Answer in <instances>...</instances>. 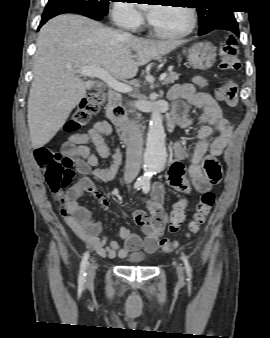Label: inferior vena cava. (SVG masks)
I'll return each mask as SVG.
<instances>
[{
	"label": "inferior vena cava",
	"mask_w": 270,
	"mask_h": 338,
	"mask_svg": "<svg viewBox=\"0 0 270 338\" xmlns=\"http://www.w3.org/2000/svg\"><path fill=\"white\" fill-rule=\"evenodd\" d=\"M125 36H131L129 33H123ZM127 150L126 165L124 172L125 180H133L139 173L142 163L143 139L139 126L134 121L127 125Z\"/></svg>",
	"instance_id": "obj_1"
}]
</instances>
